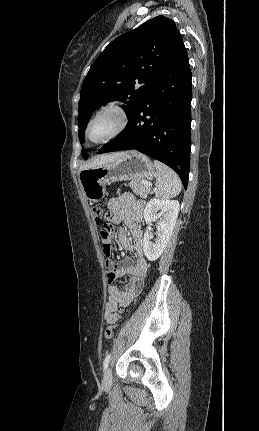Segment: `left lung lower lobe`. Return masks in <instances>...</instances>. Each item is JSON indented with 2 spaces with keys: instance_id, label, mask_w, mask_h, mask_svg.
<instances>
[{
  "instance_id": "1",
  "label": "left lung lower lobe",
  "mask_w": 259,
  "mask_h": 431,
  "mask_svg": "<svg viewBox=\"0 0 259 431\" xmlns=\"http://www.w3.org/2000/svg\"><path fill=\"white\" fill-rule=\"evenodd\" d=\"M191 71L184 44L128 118L98 153L136 149L171 167L187 188L191 146Z\"/></svg>"
}]
</instances>
